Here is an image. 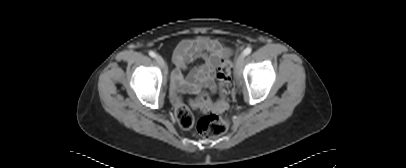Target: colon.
<instances>
[{
    "label": "colon",
    "mask_w": 406,
    "mask_h": 168,
    "mask_svg": "<svg viewBox=\"0 0 406 168\" xmlns=\"http://www.w3.org/2000/svg\"><path fill=\"white\" fill-rule=\"evenodd\" d=\"M232 65L229 60H224L217 71V80L219 85V99L216 103L206 101H192L189 104L180 99L175 106V116L178 124L183 129H190L194 125L193 109L203 111L207 109L216 112H223L228 108V94L231 84ZM228 120L217 114H201L197 120V132L205 139L218 137L224 134L228 128Z\"/></svg>",
    "instance_id": "5ec220e1"
}]
</instances>
